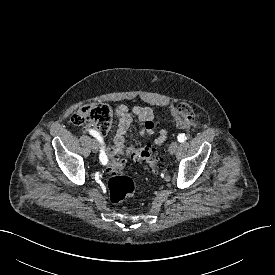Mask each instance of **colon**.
<instances>
[{
	"instance_id": "obj_1",
	"label": "colon",
	"mask_w": 275,
	"mask_h": 275,
	"mask_svg": "<svg viewBox=\"0 0 275 275\" xmlns=\"http://www.w3.org/2000/svg\"><path fill=\"white\" fill-rule=\"evenodd\" d=\"M172 115L175 124L180 129H186L194 121V110L185 102H180L172 107ZM113 111L106 103L92 102L78 108L71 116V123L79 126L90 123L96 126L101 133H106L112 123ZM154 127V123H150ZM134 158L143 163L150 171L156 172L160 168V162L154 150L150 147H142L135 151ZM125 161L116 158L110 162L107 171L110 176L108 189L110 201L113 204H121L126 199L134 196L136 186L133 180L123 173Z\"/></svg>"
}]
</instances>
